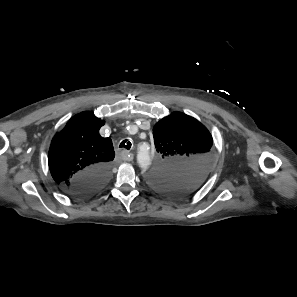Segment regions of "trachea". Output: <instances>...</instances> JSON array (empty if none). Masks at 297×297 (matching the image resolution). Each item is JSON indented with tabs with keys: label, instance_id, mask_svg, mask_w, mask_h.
I'll list each match as a JSON object with an SVG mask.
<instances>
[{
	"label": "trachea",
	"instance_id": "3493384b",
	"mask_svg": "<svg viewBox=\"0 0 297 297\" xmlns=\"http://www.w3.org/2000/svg\"><path fill=\"white\" fill-rule=\"evenodd\" d=\"M131 142L129 140H123L120 145L119 148H125L127 150H129L131 148Z\"/></svg>",
	"mask_w": 297,
	"mask_h": 297
}]
</instances>
